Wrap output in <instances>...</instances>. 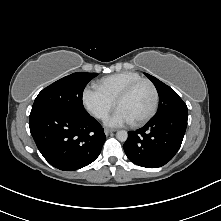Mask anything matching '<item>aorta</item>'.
I'll return each instance as SVG.
<instances>
[{
	"label": "aorta",
	"mask_w": 221,
	"mask_h": 221,
	"mask_svg": "<svg viewBox=\"0 0 221 221\" xmlns=\"http://www.w3.org/2000/svg\"><path fill=\"white\" fill-rule=\"evenodd\" d=\"M116 137L119 141L121 142H125L128 138V133L125 130H119L116 133Z\"/></svg>",
	"instance_id": "obj_1"
}]
</instances>
